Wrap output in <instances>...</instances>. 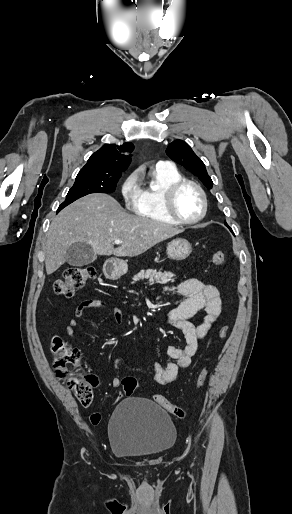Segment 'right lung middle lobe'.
Listing matches in <instances>:
<instances>
[{
    "label": "right lung middle lobe",
    "mask_w": 292,
    "mask_h": 514,
    "mask_svg": "<svg viewBox=\"0 0 292 514\" xmlns=\"http://www.w3.org/2000/svg\"><path fill=\"white\" fill-rule=\"evenodd\" d=\"M119 177H98L77 175L66 200L59 206L58 212L75 200L91 193H113Z\"/></svg>",
    "instance_id": "dd1d6c3e"
}]
</instances>
